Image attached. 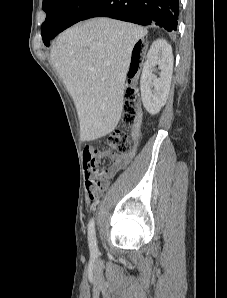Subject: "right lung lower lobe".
Masks as SVG:
<instances>
[{
  "label": "right lung lower lobe",
  "mask_w": 227,
  "mask_h": 298,
  "mask_svg": "<svg viewBox=\"0 0 227 298\" xmlns=\"http://www.w3.org/2000/svg\"><path fill=\"white\" fill-rule=\"evenodd\" d=\"M178 14L179 0H100L81 20L110 17L144 26L154 23L176 31Z\"/></svg>",
  "instance_id": "1"
}]
</instances>
